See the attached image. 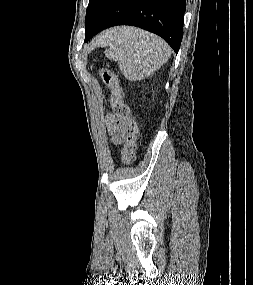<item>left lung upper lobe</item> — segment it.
<instances>
[{
  "label": "left lung upper lobe",
  "mask_w": 253,
  "mask_h": 285,
  "mask_svg": "<svg viewBox=\"0 0 253 285\" xmlns=\"http://www.w3.org/2000/svg\"><path fill=\"white\" fill-rule=\"evenodd\" d=\"M108 2L109 0H89L85 18V34L95 25Z\"/></svg>",
  "instance_id": "obj_1"
}]
</instances>
